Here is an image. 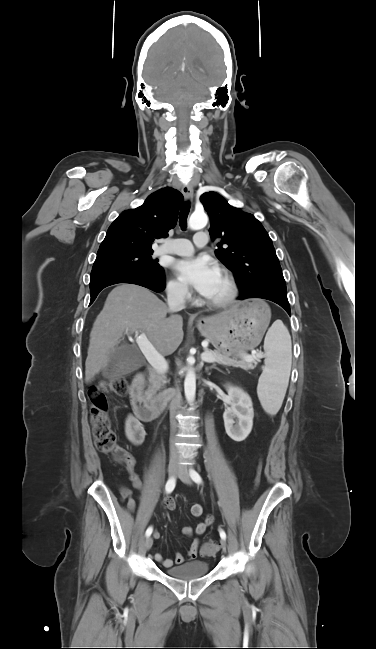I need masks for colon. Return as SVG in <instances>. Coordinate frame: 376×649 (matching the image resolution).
I'll use <instances>...</instances> for the list:
<instances>
[{
	"instance_id": "colon-1",
	"label": "colon",
	"mask_w": 376,
	"mask_h": 649,
	"mask_svg": "<svg viewBox=\"0 0 376 649\" xmlns=\"http://www.w3.org/2000/svg\"><path fill=\"white\" fill-rule=\"evenodd\" d=\"M128 388L127 377L118 376L101 381L98 385L92 386L87 393L91 404L90 423L96 447L101 452L110 454L116 462L123 464L127 471L134 467V460L127 450L117 443L116 434L111 428L107 413L106 395L113 393L123 396L127 394ZM260 472L261 463L257 467L256 482ZM217 550L218 545L212 541H208L202 546L205 555H213Z\"/></svg>"
}]
</instances>
